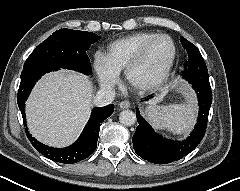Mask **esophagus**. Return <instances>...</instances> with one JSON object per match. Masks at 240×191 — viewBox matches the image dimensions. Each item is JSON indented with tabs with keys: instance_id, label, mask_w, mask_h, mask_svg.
I'll return each instance as SVG.
<instances>
[{
	"instance_id": "obj_1",
	"label": "esophagus",
	"mask_w": 240,
	"mask_h": 191,
	"mask_svg": "<svg viewBox=\"0 0 240 191\" xmlns=\"http://www.w3.org/2000/svg\"><path fill=\"white\" fill-rule=\"evenodd\" d=\"M119 107L121 109H128L130 108V102L129 101H122L120 104H119Z\"/></svg>"
}]
</instances>
